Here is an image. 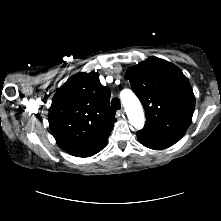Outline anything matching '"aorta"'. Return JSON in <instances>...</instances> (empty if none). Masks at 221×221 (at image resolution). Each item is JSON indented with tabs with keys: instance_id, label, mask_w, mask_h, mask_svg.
Segmentation results:
<instances>
[{
	"instance_id": "762f6f07",
	"label": "aorta",
	"mask_w": 221,
	"mask_h": 221,
	"mask_svg": "<svg viewBox=\"0 0 221 221\" xmlns=\"http://www.w3.org/2000/svg\"><path fill=\"white\" fill-rule=\"evenodd\" d=\"M121 97L129 123L138 130L142 129L145 124V116L139 99L131 91L125 95L122 94Z\"/></svg>"
}]
</instances>
